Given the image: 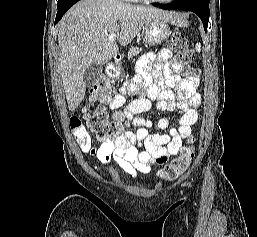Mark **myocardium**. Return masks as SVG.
Here are the masks:
<instances>
[{
    "mask_svg": "<svg viewBox=\"0 0 257 237\" xmlns=\"http://www.w3.org/2000/svg\"><path fill=\"white\" fill-rule=\"evenodd\" d=\"M151 2H154V3H162V4H166V3H171L175 0H149Z\"/></svg>",
    "mask_w": 257,
    "mask_h": 237,
    "instance_id": "f54148a6",
    "label": "myocardium"
}]
</instances>
